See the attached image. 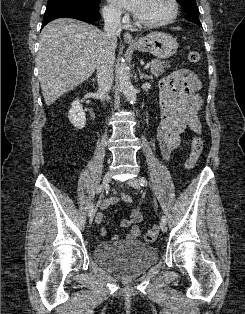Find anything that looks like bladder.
<instances>
[{
	"label": "bladder",
	"instance_id": "31cf9c89",
	"mask_svg": "<svg viewBox=\"0 0 245 314\" xmlns=\"http://www.w3.org/2000/svg\"><path fill=\"white\" fill-rule=\"evenodd\" d=\"M94 260L107 270L131 277L145 272L158 260L153 246L141 241L108 242L93 248Z\"/></svg>",
	"mask_w": 245,
	"mask_h": 314
}]
</instances>
